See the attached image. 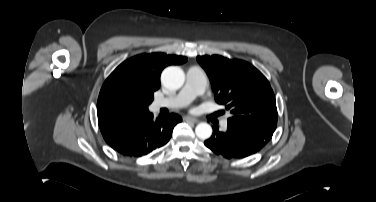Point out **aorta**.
Masks as SVG:
<instances>
[{"mask_svg":"<svg viewBox=\"0 0 376 202\" xmlns=\"http://www.w3.org/2000/svg\"><path fill=\"white\" fill-rule=\"evenodd\" d=\"M161 79L167 88L179 89L184 84L185 74L180 67L171 66L163 71ZM195 133L199 139L206 140L212 135V128L208 123L202 122L196 126Z\"/></svg>","mask_w":376,"mask_h":202,"instance_id":"aorta-1","label":"aorta"}]
</instances>
